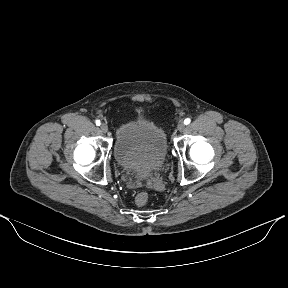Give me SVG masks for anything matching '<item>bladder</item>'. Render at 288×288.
Instances as JSON below:
<instances>
[{
    "label": "bladder",
    "instance_id": "obj_1",
    "mask_svg": "<svg viewBox=\"0 0 288 288\" xmlns=\"http://www.w3.org/2000/svg\"><path fill=\"white\" fill-rule=\"evenodd\" d=\"M168 153L164 130L144 117L123 122L116 131L114 156L118 164L139 178H147L163 165Z\"/></svg>",
    "mask_w": 288,
    "mask_h": 288
}]
</instances>
